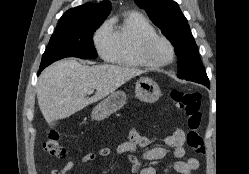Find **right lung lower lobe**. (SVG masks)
<instances>
[{
    "label": "right lung lower lobe",
    "mask_w": 249,
    "mask_h": 174,
    "mask_svg": "<svg viewBox=\"0 0 249 174\" xmlns=\"http://www.w3.org/2000/svg\"><path fill=\"white\" fill-rule=\"evenodd\" d=\"M42 70H43V69H40L39 72H38V74H40V72H41Z\"/></svg>",
    "instance_id": "98d812e1"
}]
</instances>
